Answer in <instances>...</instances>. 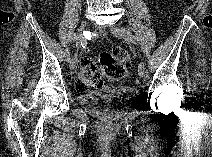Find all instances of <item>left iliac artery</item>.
<instances>
[{"mask_svg":"<svg viewBox=\"0 0 212 157\" xmlns=\"http://www.w3.org/2000/svg\"><path fill=\"white\" fill-rule=\"evenodd\" d=\"M126 40L134 43V44H137V40L136 38L131 34L129 35L128 37H126ZM145 77L146 78H149L150 77V72L148 70H145Z\"/></svg>","mask_w":212,"mask_h":157,"instance_id":"left-iliac-artery-1","label":"left iliac artery"}]
</instances>
